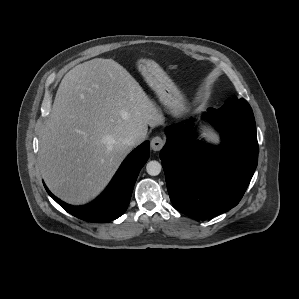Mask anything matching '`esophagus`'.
Wrapping results in <instances>:
<instances>
[{
    "label": "esophagus",
    "mask_w": 299,
    "mask_h": 299,
    "mask_svg": "<svg viewBox=\"0 0 299 299\" xmlns=\"http://www.w3.org/2000/svg\"><path fill=\"white\" fill-rule=\"evenodd\" d=\"M165 145V140L162 137L156 136L151 140V149L153 151H160Z\"/></svg>",
    "instance_id": "1"
}]
</instances>
